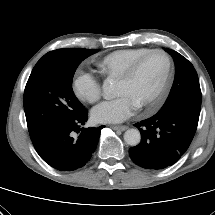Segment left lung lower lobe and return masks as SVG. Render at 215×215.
Listing matches in <instances>:
<instances>
[{"label": "left lung lower lobe", "instance_id": "obj_1", "mask_svg": "<svg viewBox=\"0 0 215 215\" xmlns=\"http://www.w3.org/2000/svg\"><path fill=\"white\" fill-rule=\"evenodd\" d=\"M199 116L175 108L158 111L136 123L142 135L140 144L129 149L132 161L145 169H163L176 163L188 149Z\"/></svg>", "mask_w": 215, "mask_h": 215}]
</instances>
